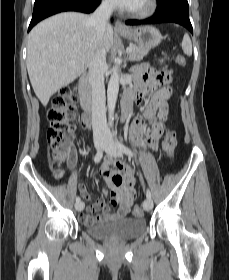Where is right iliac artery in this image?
<instances>
[{
	"mask_svg": "<svg viewBox=\"0 0 229 280\" xmlns=\"http://www.w3.org/2000/svg\"><path fill=\"white\" fill-rule=\"evenodd\" d=\"M102 157H103V150H99L94 157V162L99 163L101 161ZM80 201H81L80 197H76V203H78Z\"/></svg>",
	"mask_w": 229,
	"mask_h": 280,
	"instance_id": "82829eb1",
	"label": "right iliac artery"
}]
</instances>
